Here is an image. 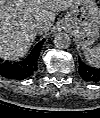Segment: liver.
<instances>
[{"label": "liver", "mask_w": 100, "mask_h": 118, "mask_svg": "<svg viewBox=\"0 0 100 118\" xmlns=\"http://www.w3.org/2000/svg\"><path fill=\"white\" fill-rule=\"evenodd\" d=\"M76 0H0V56L19 60L29 51L37 34L47 32L55 21V13L65 11ZM48 30L37 33L35 25Z\"/></svg>", "instance_id": "obj_1"}]
</instances>
